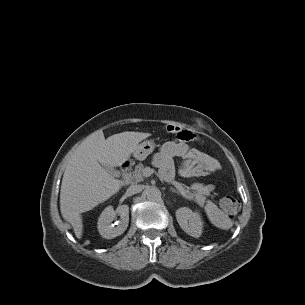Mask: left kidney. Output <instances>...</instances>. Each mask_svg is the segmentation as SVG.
<instances>
[{
    "mask_svg": "<svg viewBox=\"0 0 305 305\" xmlns=\"http://www.w3.org/2000/svg\"><path fill=\"white\" fill-rule=\"evenodd\" d=\"M177 222L184 232L198 238L202 234L203 221L199 212H193L187 207L179 208L176 211Z\"/></svg>",
    "mask_w": 305,
    "mask_h": 305,
    "instance_id": "5707ae66",
    "label": "left kidney"
}]
</instances>
